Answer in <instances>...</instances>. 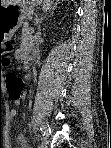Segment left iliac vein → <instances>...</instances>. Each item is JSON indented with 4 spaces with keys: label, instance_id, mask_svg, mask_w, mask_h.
<instances>
[{
    "label": "left iliac vein",
    "instance_id": "1",
    "mask_svg": "<svg viewBox=\"0 0 111 148\" xmlns=\"http://www.w3.org/2000/svg\"><path fill=\"white\" fill-rule=\"evenodd\" d=\"M42 127L43 129H47L46 125L45 124H42Z\"/></svg>",
    "mask_w": 111,
    "mask_h": 148
}]
</instances>
